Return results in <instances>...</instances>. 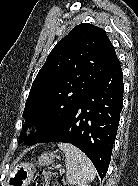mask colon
Segmentation results:
<instances>
[{
	"mask_svg": "<svg viewBox=\"0 0 138 186\" xmlns=\"http://www.w3.org/2000/svg\"><path fill=\"white\" fill-rule=\"evenodd\" d=\"M31 186H67L65 179L53 171H40Z\"/></svg>",
	"mask_w": 138,
	"mask_h": 186,
	"instance_id": "colon-1",
	"label": "colon"
}]
</instances>
